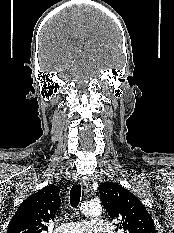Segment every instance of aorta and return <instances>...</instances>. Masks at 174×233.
<instances>
[{"label": "aorta", "instance_id": "1", "mask_svg": "<svg viewBox=\"0 0 174 233\" xmlns=\"http://www.w3.org/2000/svg\"><path fill=\"white\" fill-rule=\"evenodd\" d=\"M81 211L86 216L98 217L102 213V208H101V206L99 204L84 203L81 206Z\"/></svg>", "mask_w": 174, "mask_h": 233}]
</instances>
